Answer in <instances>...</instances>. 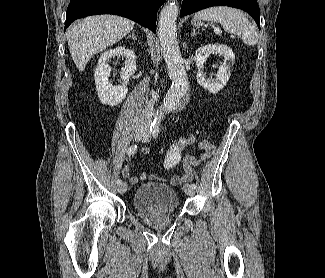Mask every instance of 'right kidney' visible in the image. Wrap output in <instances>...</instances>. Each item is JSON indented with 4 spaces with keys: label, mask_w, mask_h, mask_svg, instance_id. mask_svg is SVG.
I'll use <instances>...</instances> for the list:
<instances>
[{
    "label": "right kidney",
    "mask_w": 325,
    "mask_h": 278,
    "mask_svg": "<svg viewBox=\"0 0 325 278\" xmlns=\"http://www.w3.org/2000/svg\"><path fill=\"white\" fill-rule=\"evenodd\" d=\"M124 57L125 66L121 69L122 85L113 86L109 82L111 67L108 62L111 58ZM136 71V55L134 51L125 46H118L102 53L98 60L97 68L95 69V84L98 92L99 100L102 104L115 106L121 103L128 92V82L130 76Z\"/></svg>",
    "instance_id": "ca27d5eb"
}]
</instances>
